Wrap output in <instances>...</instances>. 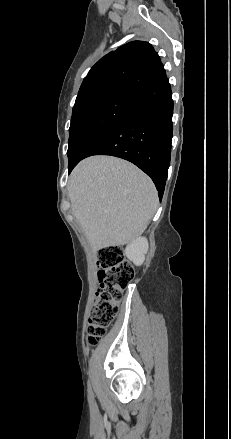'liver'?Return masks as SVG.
<instances>
[{
  "label": "liver",
  "mask_w": 231,
  "mask_h": 439,
  "mask_svg": "<svg viewBox=\"0 0 231 439\" xmlns=\"http://www.w3.org/2000/svg\"><path fill=\"white\" fill-rule=\"evenodd\" d=\"M68 194L94 251L135 240L158 206L152 180L135 165L111 156L81 161L69 178Z\"/></svg>",
  "instance_id": "6515ba94"
}]
</instances>
